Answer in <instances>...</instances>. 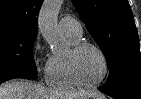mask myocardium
Returning <instances> with one entry per match:
<instances>
[{
  "instance_id": "f54148a6",
  "label": "myocardium",
  "mask_w": 141,
  "mask_h": 99,
  "mask_svg": "<svg viewBox=\"0 0 141 99\" xmlns=\"http://www.w3.org/2000/svg\"><path fill=\"white\" fill-rule=\"evenodd\" d=\"M85 48H93L100 54L103 60L104 72L101 78L97 80L96 82L88 83V82L83 81L78 72V67H77L78 55ZM68 65H69L70 74L74 82L78 86L84 87V88H95L99 86L100 84H102L105 81V79L107 78L109 74V61H108V57L106 53L100 46H98L97 44L93 42H89V41H80L72 47L71 51L68 54Z\"/></svg>"
}]
</instances>
